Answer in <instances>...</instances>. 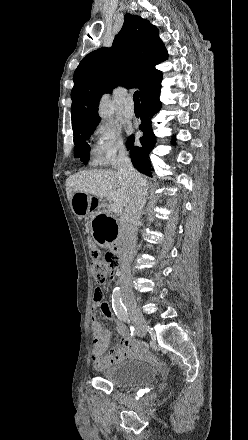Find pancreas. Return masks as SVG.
I'll list each match as a JSON object with an SVG mask.
<instances>
[{
	"mask_svg": "<svg viewBox=\"0 0 248 440\" xmlns=\"http://www.w3.org/2000/svg\"><path fill=\"white\" fill-rule=\"evenodd\" d=\"M105 213L112 215V212H110L109 210L105 211Z\"/></svg>",
	"mask_w": 248,
	"mask_h": 440,
	"instance_id": "obj_1",
	"label": "pancreas"
}]
</instances>
